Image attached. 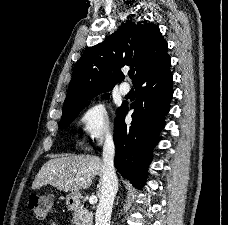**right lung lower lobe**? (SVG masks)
I'll list each match as a JSON object with an SVG mask.
<instances>
[{"label":"right lung lower lobe","mask_w":228,"mask_h":225,"mask_svg":"<svg viewBox=\"0 0 228 225\" xmlns=\"http://www.w3.org/2000/svg\"><path fill=\"white\" fill-rule=\"evenodd\" d=\"M170 56L167 54L146 70L134 84L136 100L131 125L124 118L128 107L122 105L115 119L114 143L115 167L133 186L145 183L147 167L152 160V149L158 143V133L165 125V115L173 95L170 72ZM141 183V185H140Z\"/></svg>","instance_id":"obj_1"}]
</instances>
